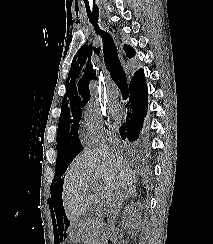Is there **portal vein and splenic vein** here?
<instances>
[{"label":"portal vein and splenic vein","mask_w":213,"mask_h":244,"mask_svg":"<svg viewBox=\"0 0 213 244\" xmlns=\"http://www.w3.org/2000/svg\"><path fill=\"white\" fill-rule=\"evenodd\" d=\"M98 183H95L92 187L97 188Z\"/></svg>","instance_id":"18ae733b"}]
</instances>
